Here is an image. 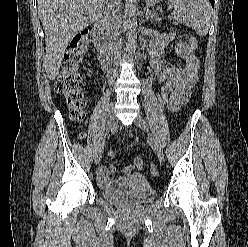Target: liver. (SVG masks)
I'll list each match as a JSON object with an SVG mask.
<instances>
[{"instance_id":"obj_1","label":"liver","mask_w":248,"mask_h":247,"mask_svg":"<svg viewBox=\"0 0 248 247\" xmlns=\"http://www.w3.org/2000/svg\"><path fill=\"white\" fill-rule=\"evenodd\" d=\"M106 3L107 0H38L46 42L45 69L50 80L59 74L69 42L101 18Z\"/></svg>"}]
</instances>
